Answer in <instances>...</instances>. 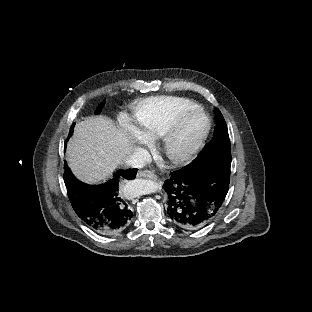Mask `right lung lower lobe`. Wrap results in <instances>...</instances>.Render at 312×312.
<instances>
[{"mask_svg":"<svg viewBox=\"0 0 312 312\" xmlns=\"http://www.w3.org/2000/svg\"><path fill=\"white\" fill-rule=\"evenodd\" d=\"M64 162V182L68 196L83 223L101 235L124 231L133 217L125 191L128 182L136 177L138 169H120L107 182L88 185L77 180Z\"/></svg>","mask_w":312,"mask_h":312,"instance_id":"1","label":"right lung lower lobe"}]
</instances>
